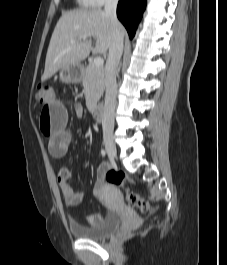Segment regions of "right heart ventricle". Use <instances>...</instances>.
Returning <instances> with one entry per match:
<instances>
[{"label": "right heart ventricle", "instance_id": "e07e8e85", "mask_svg": "<svg viewBox=\"0 0 227 265\" xmlns=\"http://www.w3.org/2000/svg\"><path fill=\"white\" fill-rule=\"evenodd\" d=\"M82 5L88 6L90 5V3L88 2V0H78Z\"/></svg>", "mask_w": 227, "mask_h": 265}]
</instances>
